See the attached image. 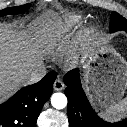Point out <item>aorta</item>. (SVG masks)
<instances>
[{
  "mask_svg": "<svg viewBox=\"0 0 127 127\" xmlns=\"http://www.w3.org/2000/svg\"><path fill=\"white\" fill-rule=\"evenodd\" d=\"M51 104L56 109H63L67 106V97L63 93H54L51 96Z\"/></svg>",
  "mask_w": 127,
  "mask_h": 127,
  "instance_id": "aorta-1",
  "label": "aorta"
}]
</instances>
